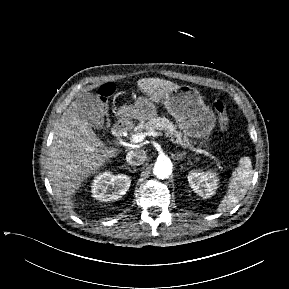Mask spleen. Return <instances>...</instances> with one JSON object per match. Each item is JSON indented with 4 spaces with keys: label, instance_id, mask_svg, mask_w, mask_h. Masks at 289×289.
Masks as SVG:
<instances>
[{
    "label": "spleen",
    "instance_id": "spleen-1",
    "mask_svg": "<svg viewBox=\"0 0 289 289\" xmlns=\"http://www.w3.org/2000/svg\"><path fill=\"white\" fill-rule=\"evenodd\" d=\"M253 170L249 157H243L239 161V166L233 172L228 190L223 200L217 208L218 212H225L235 207L242 200L252 182Z\"/></svg>",
    "mask_w": 289,
    "mask_h": 289
}]
</instances>
